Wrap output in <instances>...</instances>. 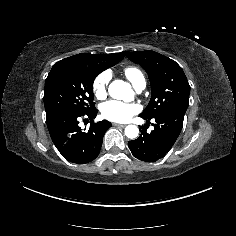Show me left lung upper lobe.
Returning a JSON list of instances; mask_svg holds the SVG:
<instances>
[{"instance_id": "obj_1", "label": "left lung upper lobe", "mask_w": 236, "mask_h": 236, "mask_svg": "<svg viewBox=\"0 0 236 236\" xmlns=\"http://www.w3.org/2000/svg\"><path fill=\"white\" fill-rule=\"evenodd\" d=\"M124 53L146 70L151 83L152 96L140 117L151 119L172 108H188L190 86L174 60L150 50Z\"/></svg>"}]
</instances>
